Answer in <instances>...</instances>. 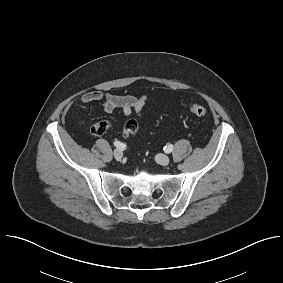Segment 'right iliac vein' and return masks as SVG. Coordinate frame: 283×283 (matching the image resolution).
I'll use <instances>...</instances> for the list:
<instances>
[{"label":"right iliac vein","mask_w":283,"mask_h":283,"mask_svg":"<svg viewBox=\"0 0 283 283\" xmlns=\"http://www.w3.org/2000/svg\"><path fill=\"white\" fill-rule=\"evenodd\" d=\"M113 155L115 157L116 160H121L122 157H123V153L120 149H115L114 152H113Z\"/></svg>","instance_id":"right-iliac-vein-1"}]
</instances>
